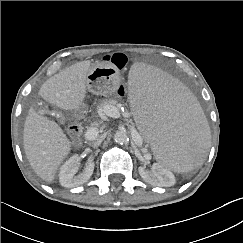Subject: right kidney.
Listing matches in <instances>:
<instances>
[{
  "mask_svg": "<svg viewBox=\"0 0 243 243\" xmlns=\"http://www.w3.org/2000/svg\"><path fill=\"white\" fill-rule=\"evenodd\" d=\"M80 162V157L76 154L70 157L60 168L59 172V182L63 187L73 188L86 183L93 174L94 162L92 160L88 161L87 166L83 172L76 175L78 171V166Z\"/></svg>",
  "mask_w": 243,
  "mask_h": 243,
  "instance_id": "ca27d5eb",
  "label": "right kidney"
}]
</instances>
